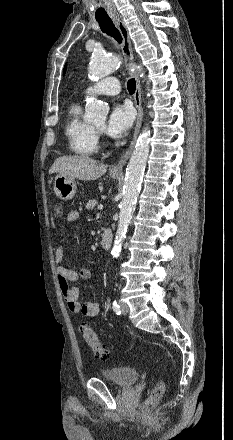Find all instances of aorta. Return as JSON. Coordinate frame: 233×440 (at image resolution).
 Returning <instances> with one entry per match:
<instances>
[{"label": "aorta", "instance_id": "aorta-1", "mask_svg": "<svg viewBox=\"0 0 233 440\" xmlns=\"http://www.w3.org/2000/svg\"><path fill=\"white\" fill-rule=\"evenodd\" d=\"M121 60L117 56H105L96 52L92 56L89 72L96 78L105 77L119 68ZM134 69L143 76L142 68L134 65ZM109 112L108 106L102 104L96 98H90L87 104L85 118L88 121H99L105 119ZM150 131L145 127L140 134L134 151L130 157L123 190V198L120 203L119 221L115 236L114 245L111 251L113 257H118L122 244L126 238L128 225L132 218L133 210L138 198L141 182L149 154Z\"/></svg>", "mask_w": 233, "mask_h": 440}]
</instances>
